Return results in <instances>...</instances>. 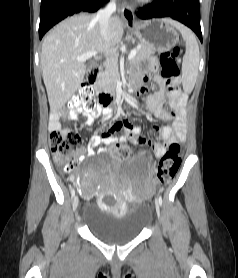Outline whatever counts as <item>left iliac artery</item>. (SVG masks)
Instances as JSON below:
<instances>
[{
  "instance_id": "left-iliac-artery-1",
  "label": "left iliac artery",
  "mask_w": 238,
  "mask_h": 278,
  "mask_svg": "<svg viewBox=\"0 0 238 278\" xmlns=\"http://www.w3.org/2000/svg\"><path fill=\"white\" fill-rule=\"evenodd\" d=\"M158 203H159L160 205H162V197H161V196L158 197Z\"/></svg>"
}]
</instances>
